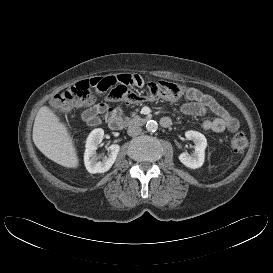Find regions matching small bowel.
<instances>
[{"instance_id":"c3829d8e","label":"small bowel","mask_w":273,"mask_h":273,"mask_svg":"<svg viewBox=\"0 0 273 273\" xmlns=\"http://www.w3.org/2000/svg\"><path fill=\"white\" fill-rule=\"evenodd\" d=\"M136 84L139 87L143 86V80L139 76ZM137 95L141 97L140 94ZM140 99L142 101L143 98ZM121 111V107L112 109L107 104L100 103L86 109L82 113V120L90 126H95L100 123L101 116L108 118L110 115L120 114ZM180 111L189 116H202L208 112L213 113L215 115L214 118L206 119L202 122L203 129L207 131L220 133L225 130L236 132L239 129L238 120L228 110L220 105L212 96L197 88H189L186 91L185 102L180 105Z\"/></svg>"}]
</instances>
